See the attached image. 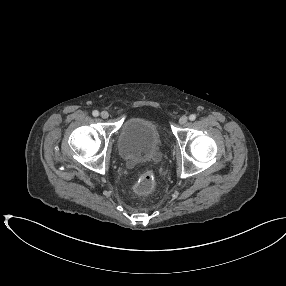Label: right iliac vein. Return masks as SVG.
I'll use <instances>...</instances> for the list:
<instances>
[{
  "instance_id": "obj_1",
  "label": "right iliac vein",
  "mask_w": 286,
  "mask_h": 286,
  "mask_svg": "<svg viewBox=\"0 0 286 286\" xmlns=\"http://www.w3.org/2000/svg\"><path fill=\"white\" fill-rule=\"evenodd\" d=\"M100 115H101V117H102L103 119H106V118H108V116H109V114H108L107 111H102Z\"/></svg>"
}]
</instances>
